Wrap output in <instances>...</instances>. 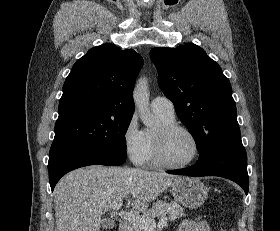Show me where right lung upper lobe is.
<instances>
[{"label":"right lung upper lobe","mask_w":280,"mask_h":231,"mask_svg":"<svg viewBox=\"0 0 280 231\" xmlns=\"http://www.w3.org/2000/svg\"><path fill=\"white\" fill-rule=\"evenodd\" d=\"M143 64L132 49L113 44L90 49L72 67L59 101L58 120L100 115L132 116V92Z\"/></svg>","instance_id":"right-lung-upper-lobe-1"}]
</instances>
